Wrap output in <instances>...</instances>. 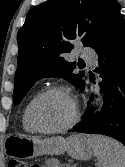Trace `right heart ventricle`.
<instances>
[{"instance_id":"right-heart-ventricle-1","label":"right heart ventricle","mask_w":125,"mask_h":167,"mask_svg":"<svg viewBox=\"0 0 125 167\" xmlns=\"http://www.w3.org/2000/svg\"><path fill=\"white\" fill-rule=\"evenodd\" d=\"M34 97H35V95L27 102V104L25 105V107L22 111V115H21L22 126L26 131H29V132H32L33 129L29 123V120H28V108H29V105Z\"/></svg>"}]
</instances>
